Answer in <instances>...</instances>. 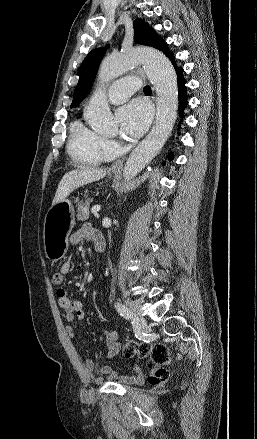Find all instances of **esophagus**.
I'll return each mask as SVG.
<instances>
[{
  "mask_svg": "<svg viewBox=\"0 0 257 439\" xmlns=\"http://www.w3.org/2000/svg\"><path fill=\"white\" fill-rule=\"evenodd\" d=\"M124 159H118L112 165V170H122Z\"/></svg>",
  "mask_w": 257,
  "mask_h": 439,
  "instance_id": "34e87169",
  "label": "esophagus"
}]
</instances>
